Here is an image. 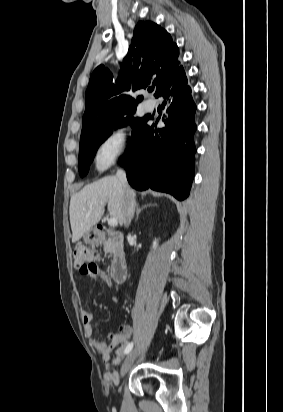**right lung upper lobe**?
Instances as JSON below:
<instances>
[{
    "mask_svg": "<svg viewBox=\"0 0 283 412\" xmlns=\"http://www.w3.org/2000/svg\"><path fill=\"white\" fill-rule=\"evenodd\" d=\"M134 46L129 48L121 64L116 85L113 75L103 65L98 66L86 90V109L83 115L81 138L117 126L124 115L136 110L137 100L127 92L156 85L155 97L167 86L180 84L186 79L178 59L179 49L171 36L157 24L141 21L134 30Z\"/></svg>",
    "mask_w": 283,
    "mask_h": 412,
    "instance_id": "right-lung-upper-lobe-1",
    "label": "right lung upper lobe"
}]
</instances>
